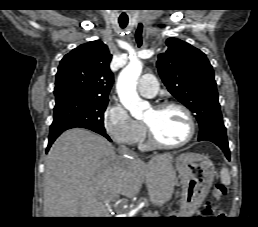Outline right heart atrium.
<instances>
[{
	"mask_svg": "<svg viewBox=\"0 0 258 227\" xmlns=\"http://www.w3.org/2000/svg\"><path fill=\"white\" fill-rule=\"evenodd\" d=\"M103 125L111 139L120 145H135L145 134L144 125L132 118L118 103L109 104L104 113Z\"/></svg>",
	"mask_w": 258,
	"mask_h": 227,
	"instance_id": "obj_1",
	"label": "right heart atrium"
}]
</instances>
